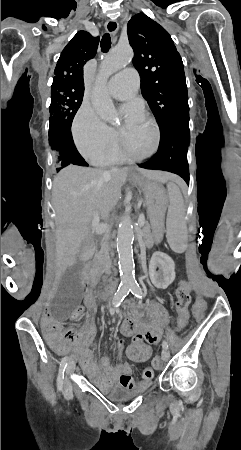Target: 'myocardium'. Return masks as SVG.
<instances>
[{"mask_svg": "<svg viewBox=\"0 0 241 450\" xmlns=\"http://www.w3.org/2000/svg\"><path fill=\"white\" fill-rule=\"evenodd\" d=\"M151 126L152 127H156L157 126V123L156 122H152L151 123ZM154 138H153V140H151L150 141V144L151 145H155L154 147L155 148H152L151 149V152H149V153H147V156L148 157H153L154 156V153L156 152V149H160V144H157V142L159 141V138L158 137H160V130H154ZM120 141H119V149H125V144H124V139L121 137L120 139H119ZM119 157H125V152H119ZM126 157L127 158H130L129 156H128V153L126 154ZM145 161V159H142L141 158V160H135V162H144Z\"/></svg>", "mask_w": 241, "mask_h": 450, "instance_id": "obj_1", "label": "myocardium"}]
</instances>
